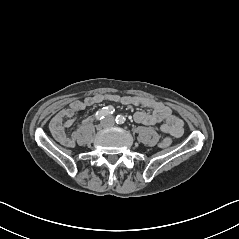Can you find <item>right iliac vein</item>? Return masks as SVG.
Listing matches in <instances>:
<instances>
[{"mask_svg": "<svg viewBox=\"0 0 239 239\" xmlns=\"http://www.w3.org/2000/svg\"><path fill=\"white\" fill-rule=\"evenodd\" d=\"M103 127V124H100L99 126H98V129H100V128H102Z\"/></svg>", "mask_w": 239, "mask_h": 239, "instance_id": "obj_1", "label": "right iliac vein"}]
</instances>
